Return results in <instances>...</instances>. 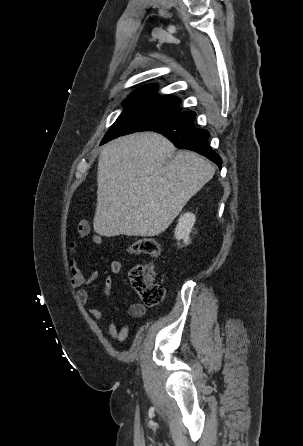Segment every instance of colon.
I'll return each mask as SVG.
<instances>
[{
  "mask_svg": "<svg viewBox=\"0 0 303 446\" xmlns=\"http://www.w3.org/2000/svg\"><path fill=\"white\" fill-rule=\"evenodd\" d=\"M127 252L132 255L145 254L158 257L161 247L157 240L153 238H140L136 240ZM130 280L133 289L140 299L147 305H157L164 297V288L154 281V274L151 267L138 265L130 272Z\"/></svg>",
  "mask_w": 303,
  "mask_h": 446,
  "instance_id": "obj_1",
  "label": "colon"
}]
</instances>
